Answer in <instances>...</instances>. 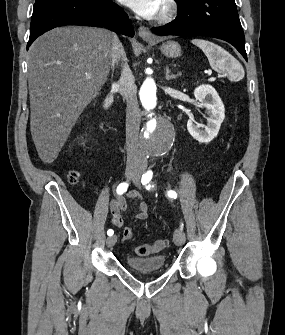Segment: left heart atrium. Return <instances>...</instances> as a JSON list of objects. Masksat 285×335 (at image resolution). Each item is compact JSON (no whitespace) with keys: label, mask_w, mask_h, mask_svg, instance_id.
<instances>
[{"label":"left heart atrium","mask_w":285,"mask_h":335,"mask_svg":"<svg viewBox=\"0 0 285 335\" xmlns=\"http://www.w3.org/2000/svg\"><path fill=\"white\" fill-rule=\"evenodd\" d=\"M144 18H155L160 12L159 1H119Z\"/></svg>","instance_id":"1"}]
</instances>
